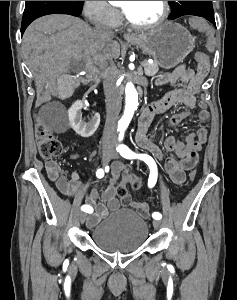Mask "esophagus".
<instances>
[{
    "mask_svg": "<svg viewBox=\"0 0 237 300\" xmlns=\"http://www.w3.org/2000/svg\"><path fill=\"white\" fill-rule=\"evenodd\" d=\"M136 37L137 36L135 34H129V33H127V34L124 35V39H126L127 41L136 39Z\"/></svg>",
    "mask_w": 237,
    "mask_h": 300,
    "instance_id": "esophagus-1",
    "label": "esophagus"
}]
</instances>
